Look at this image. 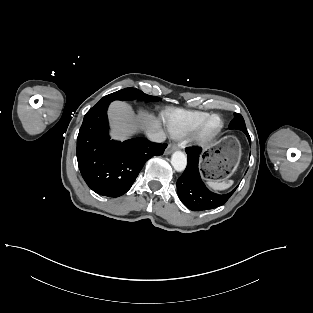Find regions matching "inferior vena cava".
I'll return each instance as SVG.
<instances>
[{"label": "inferior vena cava", "instance_id": "1", "mask_svg": "<svg viewBox=\"0 0 313 313\" xmlns=\"http://www.w3.org/2000/svg\"><path fill=\"white\" fill-rule=\"evenodd\" d=\"M147 138L152 142L162 143L165 141L166 136L162 130H148L146 131Z\"/></svg>", "mask_w": 313, "mask_h": 313}]
</instances>
